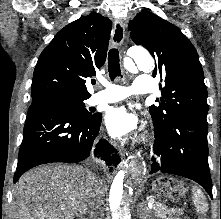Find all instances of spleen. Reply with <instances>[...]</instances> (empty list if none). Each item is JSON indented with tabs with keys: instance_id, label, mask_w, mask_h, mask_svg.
Masks as SVG:
<instances>
[{
	"instance_id": "1",
	"label": "spleen",
	"mask_w": 221,
	"mask_h": 219,
	"mask_svg": "<svg viewBox=\"0 0 221 219\" xmlns=\"http://www.w3.org/2000/svg\"><path fill=\"white\" fill-rule=\"evenodd\" d=\"M193 202L198 213H205L208 210V204L202 191L196 187L193 188Z\"/></svg>"
}]
</instances>
